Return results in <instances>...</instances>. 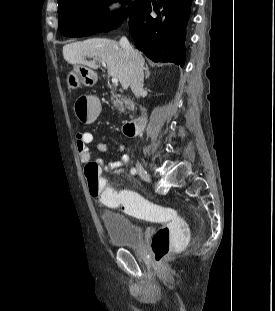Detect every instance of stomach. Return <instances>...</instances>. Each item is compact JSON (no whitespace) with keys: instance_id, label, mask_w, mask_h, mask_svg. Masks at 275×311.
Instances as JSON below:
<instances>
[{"instance_id":"stomach-1","label":"stomach","mask_w":275,"mask_h":311,"mask_svg":"<svg viewBox=\"0 0 275 311\" xmlns=\"http://www.w3.org/2000/svg\"><path fill=\"white\" fill-rule=\"evenodd\" d=\"M96 74L83 65H75L66 78L69 90H76L82 85L92 86L96 83Z\"/></svg>"}]
</instances>
